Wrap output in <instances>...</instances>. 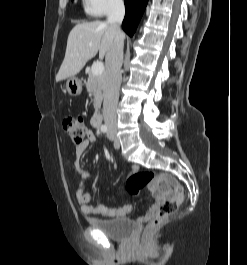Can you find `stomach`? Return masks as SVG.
Returning a JSON list of instances; mask_svg holds the SVG:
<instances>
[{
  "label": "stomach",
  "instance_id": "1",
  "mask_svg": "<svg viewBox=\"0 0 247 265\" xmlns=\"http://www.w3.org/2000/svg\"><path fill=\"white\" fill-rule=\"evenodd\" d=\"M66 89L71 96H78L82 92V81L77 77H69L66 81Z\"/></svg>",
  "mask_w": 247,
  "mask_h": 265
}]
</instances>
